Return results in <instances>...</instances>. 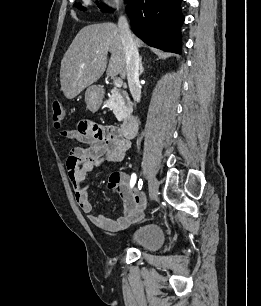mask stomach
I'll return each instance as SVG.
<instances>
[{"label": "stomach", "instance_id": "0dacf381", "mask_svg": "<svg viewBox=\"0 0 261 306\" xmlns=\"http://www.w3.org/2000/svg\"><path fill=\"white\" fill-rule=\"evenodd\" d=\"M85 102L87 108L92 111L96 112L102 103L100 90L97 86H89L85 91Z\"/></svg>", "mask_w": 261, "mask_h": 306}]
</instances>
